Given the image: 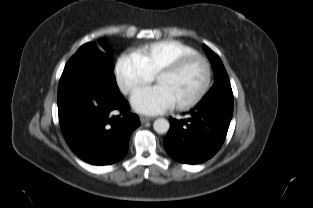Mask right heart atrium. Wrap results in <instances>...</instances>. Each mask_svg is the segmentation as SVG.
<instances>
[{
  "label": "right heart atrium",
  "instance_id": "obj_1",
  "mask_svg": "<svg viewBox=\"0 0 313 208\" xmlns=\"http://www.w3.org/2000/svg\"><path fill=\"white\" fill-rule=\"evenodd\" d=\"M115 77L119 88L125 94L153 80V74L148 71L136 54H123L118 59Z\"/></svg>",
  "mask_w": 313,
  "mask_h": 208
}]
</instances>
